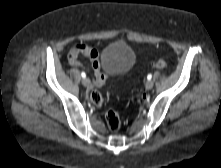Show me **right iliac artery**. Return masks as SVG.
I'll return each instance as SVG.
<instances>
[{"label": "right iliac artery", "instance_id": "right-iliac-artery-1", "mask_svg": "<svg viewBox=\"0 0 221 168\" xmlns=\"http://www.w3.org/2000/svg\"><path fill=\"white\" fill-rule=\"evenodd\" d=\"M82 78L86 77V74L84 72L81 73Z\"/></svg>", "mask_w": 221, "mask_h": 168}]
</instances>
